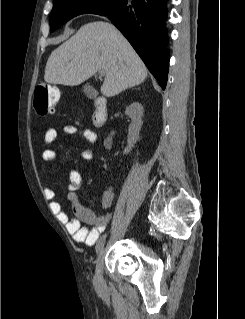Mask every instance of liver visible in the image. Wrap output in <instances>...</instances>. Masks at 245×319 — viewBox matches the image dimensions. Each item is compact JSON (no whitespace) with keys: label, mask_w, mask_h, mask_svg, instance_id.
I'll list each match as a JSON object with an SVG mask.
<instances>
[{"label":"liver","mask_w":245,"mask_h":319,"mask_svg":"<svg viewBox=\"0 0 245 319\" xmlns=\"http://www.w3.org/2000/svg\"><path fill=\"white\" fill-rule=\"evenodd\" d=\"M100 70L105 75L100 90L106 97L139 85L147 77L146 66L120 31L111 23L95 21L84 24L51 53L44 80L76 86Z\"/></svg>","instance_id":"1"}]
</instances>
